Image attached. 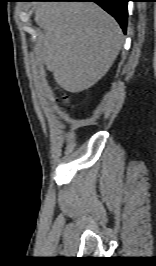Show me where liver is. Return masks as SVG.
<instances>
[{"mask_svg": "<svg viewBox=\"0 0 156 266\" xmlns=\"http://www.w3.org/2000/svg\"><path fill=\"white\" fill-rule=\"evenodd\" d=\"M34 19L44 32L37 55L71 93L96 84L123 45L119 24L91 2H40Z\"/></svg>", "mask_w": 156, "mask_h": 266, "instance_id": "6515ba94", "label": "liver"}]
</instances>
